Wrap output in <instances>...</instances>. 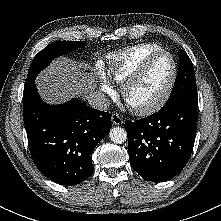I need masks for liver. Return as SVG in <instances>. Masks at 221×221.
I'll return each instance as SVG.
<instances>
[{
    "label": "liver",
    "mask_w": 221,
    "mask_h": 221,
    "mask_svg": "<svg viewBox=\"0 0 221 221\" xmlns=\"http://www.w3.org/2000/svg\"><path fill=\"white\" fill-rule=\"evenodd\" d=\"M36 85L42 98L51 104L65 102L73 96L85 99L96 87L92 73L84 72L66 57L54 60L42 71Z\"/></svg>",
    "instance_id": "6515ba94"
}]
</instances>
